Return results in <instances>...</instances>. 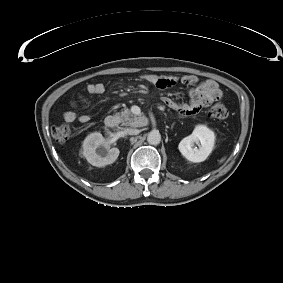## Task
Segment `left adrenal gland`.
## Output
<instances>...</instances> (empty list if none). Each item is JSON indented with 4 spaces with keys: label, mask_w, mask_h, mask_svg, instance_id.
<instances>
[{
    "label": "left adrenal gland",
    "mask_w": 283,
    "mask_h": 283,
    "mask_svg": "<svg viewBox=\"0 0 283 283\" xmlns=\"http://www.w3.org/2000/svg\"><path fill=\"white\" fill-rule=\"evenodd\" d=\"M174 125H175V123L172 124L171 129H173Z\"/></svg>",
    "instance_id": "1"
}]
</instances>
